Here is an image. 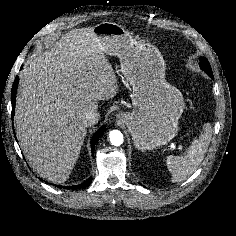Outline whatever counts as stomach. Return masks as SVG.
Listing matches in <instances>:
<instances>
[{
	"instance_id": "1",
	"label": "stomach",
	"mask_w": 236,
	"mask_h": 236,
	"mask_svg": "<svg viewBox=\"0 0 236 236\" xmlns=\"http://www.w3.org/2000/svg\"><path fill=\"white\" fill-rule=\"evenodd\" d=\"M105 54L117 56L121 72L130 82L132 112H119L134 145L141 151L165 145L178 132L185 103L182 93L165 80V62L153 45L134 38L123 26L102 22L93 27Z\"/></svg>"
}]
</instances>
